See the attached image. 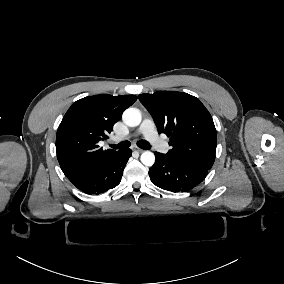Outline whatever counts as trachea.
Segmentation results:
<instances>
[{"instance_id": "1", "label": "trachea", "mask_w": 284, "mask_h": 284, "mask_svg": "<svg viewBox=\"0 0 284 284\" xmlns=\"http://www.w3.org/2000/svg\"><path fill=\"white\" fill-rule=\"evenodd\" d=\"M130 142L129 141H123L117 145L113 144L111 145L112 148L115 149H126L128 147H130ZM138 147H140L141 149L144 150H149L151 148V145L146 141V140H140L137 142Z\"/></svg>"}]
</instances>
